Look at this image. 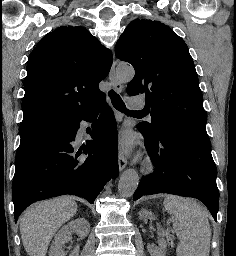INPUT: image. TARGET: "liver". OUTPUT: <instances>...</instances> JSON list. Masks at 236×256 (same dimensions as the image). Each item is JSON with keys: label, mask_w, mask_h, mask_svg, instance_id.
Wrapping results in <instances>:
<instances>
[{"label": "liver", "mask_w": 236, "mask_h": 256, "mask_svg": "<svg viewBox=\"0 0 236 256\" xmlns=\"http://www.w3.org/2000/svg\"><path fill=\"white\" fill-rule=\"evenodd\" d=\"M76 212V202L67 196L28 208L20 220L21 238L28 256H46L54 234Z\"/></svg>", "instance_id": "liver-1"}]
</instances>
